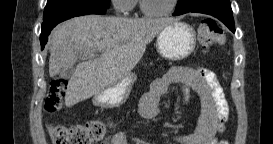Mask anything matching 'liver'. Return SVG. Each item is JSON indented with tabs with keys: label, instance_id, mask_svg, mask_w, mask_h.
Returning <instances> with one entry per match:
<instances>
[{
	"label": "liver",
	"instance_id": "liver-1",
	"mask_svg": "<svg viewBox=\"0 0 273 144\" xmlns=\"http://www.w3.org/2000/svg\"><path fill=\"white\" fill-rule=\"evenodd\" d=\"M175 21L86 15L55 27L49 38L50 77L81 60L68 81L65 105L71 107L122 80L141 60L146 45Z\"/></svg>",
	"mask_w": 273,
	"mask_h": 144
}]
</instances>
